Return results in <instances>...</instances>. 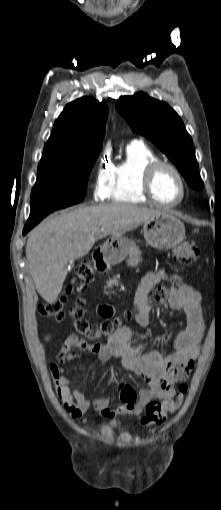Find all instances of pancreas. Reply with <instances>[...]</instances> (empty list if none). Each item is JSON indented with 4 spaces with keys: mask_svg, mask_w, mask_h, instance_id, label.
Instances as JSON below:
<instances>
[{
    "mask_svg": "<svg viewBox=\"0 0 221 510\" xmlns=\"http://www.w3.org/2000/svg\"><path fill=\"white\" fill-rule=\"evenodd\" d=\"M115 282H116V280H115V279H110V280L108 281V283H107V284H108V287H112L113 283H115Z\"/></svg>",
    "mask_w": 221,
    "mask_h": 510,
    "instance_id": "cf45deb5",
    "label": "pancreas"
}]
</instances>
